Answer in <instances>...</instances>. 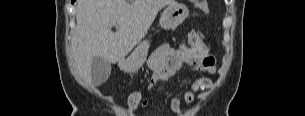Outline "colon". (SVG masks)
Returning a JSON list of instances; mask_svg holds the SVG:
<instances>
[{
	"mask_svg": "<svg viewBox=\"0 0 305 116\" xmlns=\"http://www.w3.org/2000/svg\"><path fill=\"white\" fill-rule=\"evenodd\" d=\"M142 103L143 95L140 91L130 93L124 107L125 116H137V112L141 108Z\"/></svg>",
	"mask_w": 305,
	"mask_h": 116,
	"instance_id": "5ec220e1",
	"label": "colon"
}]
</instances>
